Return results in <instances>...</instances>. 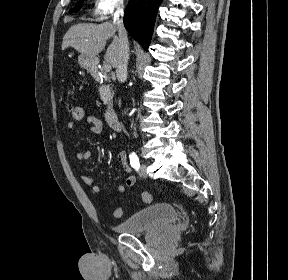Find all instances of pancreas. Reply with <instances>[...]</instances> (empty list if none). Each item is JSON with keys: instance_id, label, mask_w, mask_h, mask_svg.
I'll return each mask as SVG.
<instances>
[{"instance_id": "pancreas-1", "label": "pancreas", "mask_w": 288, "mask_h": 280, "mask_svg": "<svg viewBox=\"0 0 288 280\" xmlns=\"http://www.w3.org/2000/svg\"><path fill=\"white\" fill-rule=\"evenodd\" d=\"M103 79H104V81H108V77L106 75H103ZM99 93H100V97L104 103H106L111 98L110 89L108 87L101 86L99 88Z\"/></svg>"}]
</instances>
